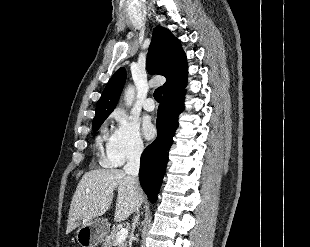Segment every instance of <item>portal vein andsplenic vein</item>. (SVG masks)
Returning <instances> with one entry per match:
<instances>
[{"instance_id": "obj_1", "label": "portal vein and splenic vein", "mask_w": 310, "mask_h": 247, "mask_svg": "<svg viewBox=\"0 0 310 247\" xmlns=\"http://www.w3.org/2000/svg\"><path fill=\"white\" fill-rule=\"evenodd\" d=\"M127 235H128V230L126 228H121L119 232H117L114 244L123 242L126 239Z\"/></svg>"}]
</instances>
